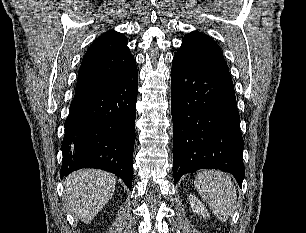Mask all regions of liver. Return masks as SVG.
<instances>
[{"label": "liver", "mask_w": 306, "mask_h": 233, "mask_svg": "<svg viewBox=\"0 0 306 233\" xmlns=\"http://www.w3.org/2000/svg\"><path fill=\"white\" fill-rule=\"evenodd\" d=\"M65 200L70 211L89 223L109 202L115 191V177L101 170L83 169L65 179Z\"/></svg>", "instance_id": "liver-1"}]
</instances>
